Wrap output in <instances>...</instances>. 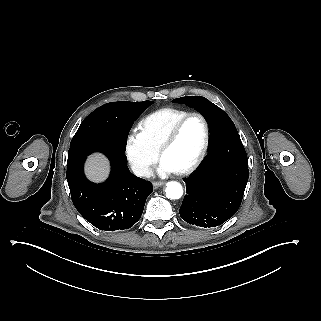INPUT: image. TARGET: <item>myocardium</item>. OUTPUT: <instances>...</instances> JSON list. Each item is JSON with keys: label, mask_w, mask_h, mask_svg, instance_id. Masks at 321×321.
Returning a JSON list of instances; mask_svg holds the SVG:
<instances>
[{"label": "myocardium", "mask_w": 321, "mask_h": 321, "mask_svg": "<svg viewBox=\"0 0 321 321\" xmlns=\"http://www.w3.org/2000/svg\"><path fill=\"white\" fill-rule=\"evenodd\" d=\"M194 117L199 118L203 123V127H204L203 143H202L199 153L197 154V156L195 157L193 162L188 167L178 171L182 175H188V174L193 173L200 166V164L202 163V161L204 160V158L207 154L209 144H210V127H209V123L206 120V118L200 113H190V114L182 117L181 119H179L177 122H175L172 125V127L165 134V136L163 137V139L161 140V142L158 146L159 153L162 154V150L167 145H169L170 143H172L175 140V138H176L180 128L183 126V124Z\"/></svg>", "instance_id": "f54148a6"}]
</instances>
